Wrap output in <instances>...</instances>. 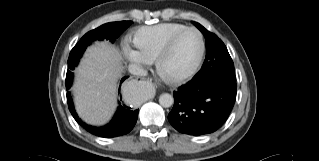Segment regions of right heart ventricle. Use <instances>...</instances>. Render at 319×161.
I'll return each instance as SVG.
<instances>
[{"label": "right heart ventricle", "mask_w": 319, "mask_h": 161, "mask_svg": "<svg viewBox=\"0 0 319 161\" xmlns=\"http://www.w3.org/2000/svg\"><path fill=\"white\" fill-rule=\"evenodd\" d=\"M187 28L181 23H161L139 28L133 38V44L142 57L148 61L157 58L167 40L176 32Z\"/></svg>", "instance_id": "obj_1"}]
</instances>
